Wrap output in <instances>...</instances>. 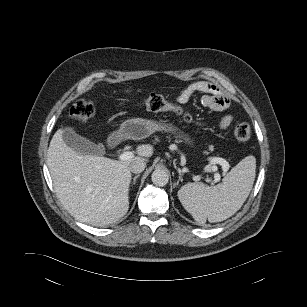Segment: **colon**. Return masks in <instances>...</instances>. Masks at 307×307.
Returning a JSON list of instances; mask_svg holds the SVG:
<instances>
[{"label": "colon", "mask_w": 307, "mask_h": 307, "mask_svg": "<svg viewBox=\"0 0 307 307\" xmlns=\"http://www.w3.org/2000/svg\"><path fill=\"white\" fill-rule=\"evenodd\" d=\"M139 103L149 111H171L177 114H181L188 122L193 121L191 115L184 112L179 105L167 101L163 96L159 94H150L141 99ZM94 113V103L89 100H78L70 109V116L72 119L79 122H85L89 120L91 117H93ZM234 136L239 141H248L251 137V129L248 124L245 122L238 123L234 127Z\"/></svg>", "instance_id": "1"}]
</instances>
